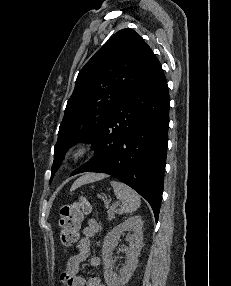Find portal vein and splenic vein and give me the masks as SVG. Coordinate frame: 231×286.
<instances>
[{
    "label": "portal vein and splenic vein",
    "mask_w": 231,
    "mask_h": 286,
    "mask_svg": "<svg viewBox=\"0 0 231 286\" xmlns=\"http://www.w3.org/2000/svg\"><path fill=\"white\" fill-rule=\"evenodd\" d=\"M115 205H119V202L115 203Z\"/></svg>",
    "instance_id": "portal-vein-and-splenic-vein-1"
}]
</instances>
